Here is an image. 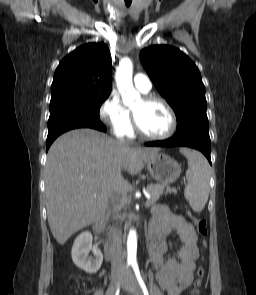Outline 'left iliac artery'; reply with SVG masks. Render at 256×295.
Returning a JSON list of instances; mask_svg holds the SVG:
<instances>
[{
  "mask_svg": "<svg viewBox=\"0 0 256 295\" xmlns=\"http://www.w3.org/2000/svg\"><path fill=\"white\" fill-rule=\"evenodd\" d=\"M132 267H133L135 276H136V278H137V280L139 282V285H140V287H141L144 295H149L148 289H147V287H146V285L144 283V280H143V278L141 276V273H140V270H139V267H138L137 262H132Z\"/></svg>",
  "mask_w": 256,
  "mask_h": 295,
  "instance_id": "left-iliac-artery-1",
  "label": "left iliac artery"
}]
</instances>
